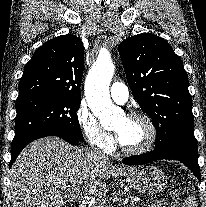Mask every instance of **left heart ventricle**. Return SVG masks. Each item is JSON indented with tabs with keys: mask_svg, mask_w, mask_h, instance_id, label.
<instances>
[{
	"mask_svg": "<svg viewBox=\"0 0 206 207\" xmlns=\"http://www.w3.org/2000/svg\"><path fill=\"white\" fill-rule=\"evenodd\" d=\"M114 131L119 142L128 149H136L145 145L149 137L148 127L143 121L128 120L126 117L117 122Z\"/></svg>",
	"mask_w": 206,
	"mask_h": 207,
	"instance_id": "1",
	"label": "left heart ventricle"
}]
</instances>
